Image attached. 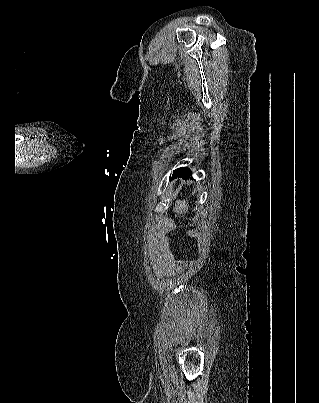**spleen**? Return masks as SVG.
Listing matches in <instances>:
<instances>
[{"label": "spleen", "mask_w": 319, "mask_h": 403, "mask_svg": "<svg viewBox=\"0 0 319 403\" xmlns=\"http://www.w3.org/2000/svg\"><path fill=\"white\" fill-rule=\"evenodd\" d=\"M188 208L189 205L186 200H177L173 208V211L176 212L177 214H185L188 212Z\"/></svg>", "instance_id": "spleen-1"}]
</instances>
